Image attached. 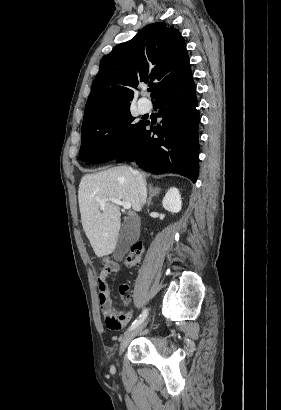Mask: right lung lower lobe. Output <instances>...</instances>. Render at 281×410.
<instances>
[{
  "label": "right lung lower lobe",
  "mask_w": 281,
  "mask_h": 410,
  "mask_svg": "<svg viewBox=\"0 0 281 410\" xmlns=\"http://www.w3.org/2000/svg\"><path fill=\"white\" fill-rule=\"evenodd\" d=\"M161 124L147 129L146 121L117 161H134L154 174L174 172L196 182L199 171V110L194 81L159 96L153 102Z\"/></svg>",
  "instance_id": "1"
}]
</instances>
